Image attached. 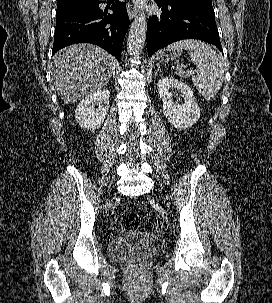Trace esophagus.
<instances>
[{
    "instance_id": "1",
    "label": "esophagus",
    "mask_w": 272,
    "mask_h": 303,
    "mask_svg": "<svg viewBox=\"0 0 272 303\" xmlns=\"http://www.w3.org/2000/svg\"><path fill=\"white\" fill-rule=\"evenodd\" d=\"M137 14L136 8L132 7L131 5H128V16L130 19H133Z\"/></svg>"
}]
</instances>
